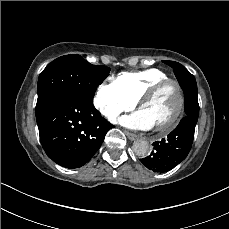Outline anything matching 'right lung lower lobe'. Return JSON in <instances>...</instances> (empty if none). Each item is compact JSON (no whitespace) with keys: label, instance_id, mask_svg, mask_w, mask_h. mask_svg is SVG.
<instances>
[{"label":"right lung lower lobe","instance_id":"98d812e1","mask_svg":"<svg viewBox=\"0 0 229 229\" xmlns=\"http://www.w3.org/2000/svg\"><path fill=\"white\" fill-rule=\"evenodd\" d=\"M42 147L60 166L78 168L100 148L113 127L90 102L79 95L63 93L36 113Z\"/></svg>","mask_w":229,"mask_h":229}]
</instances>
